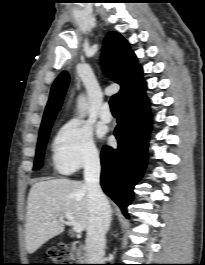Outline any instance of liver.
<instances>
[{"label": "liver", "mask_w": 205, "mask_h": 265, "mask_svg": "<svg viewBox=\"0 0 205 265\" xmlns=\"http://www.w3.org/2000/svg\"><path fill=\"white\" fill-rule=\"evenodd\" d=\"M65 213H70L83 229L88 228L90 209L85 183L61 178L32 185L25 223V243L29 254L64 231Z\"/></svg>", "instance_id": "1"}]
</instances>
